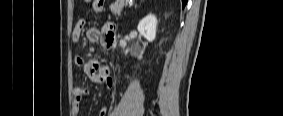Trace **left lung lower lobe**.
<instances>
[{"mask_svg":"<svg viewBox=\"0 0 283 116\" xmlns=\"http://www.w3.org/2000/svg\"><path fill=\"white\" fill-rule=\"evenodd\" d=\"M188 0H182V3H183V7L186 5Z\"/></svg>","mask_w":283,"mask_h":116,"instance_id":"1","label":"left lung lower lobe"}]
</instances>
